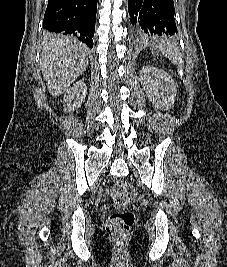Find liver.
<instances>
[{"label":"liver","mask_w":227,"mask_h":267,"mask_svg":"<svg viewBox=\"0 0 227 267\" xmlns=\"http://www.w3.org/2000/svg\"><path fill=\"white\" fill-rule=\"evenodd\" d=\"M88 54L85 44L69 36L51 35L44 40L40 64L52 96L65 92L86 69Z\"/></svg>","instance_id":"1"}]
</instances>
